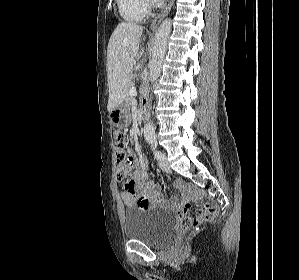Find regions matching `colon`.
<instances>
[{
	"mask_svg": "<svg viewBox=\"0 0 299 280\" xmlns=\"http://www.w3.org/2000/svg\"><path fill=\"white\" fill-rule=\"evenodd\" d=\"M116 157L118 164V176L124 178L133 165V154L128 147L127 134L122 130L114 132ZM181 188L190 195V202L198 207L195 215H191L187 209L178 216L181 227L188 231L197 229L200 225L213 220L217 213V207L206 201L203 196L190 184H181ZM188 207V205H187Z\"/></svg>",
	"mask_w": 299,
	"mask_h": 280,
	"instance_id": "colon-1",
	"label": "colon"
}]
</instances>
